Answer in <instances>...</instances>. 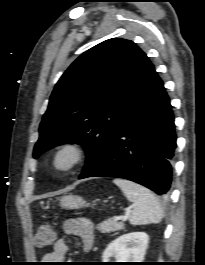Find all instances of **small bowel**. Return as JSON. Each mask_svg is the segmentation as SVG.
Masks as SVG:
<instances>
[{
    "mask_svg": "<svg viewBox=\"0 0 205 265\" xmlns=\"http://www.w3.org/2000/svg\"><path fill=\"white\" fill-rule=\"evenodd\" d=\"M64 233L67 236H78L83 241V248L86 252L92 250L94 245L93 224L86 218H73L65 221ZM68 252V245L64 239H59L53 246V251L43 257L45 263H61Z\"/></svg>",
    "mask_w": 205,
    "mask_h": 265,
    "instance_id": "small-bowel-1",
    "label": "small bowel"
}]
</instances>
